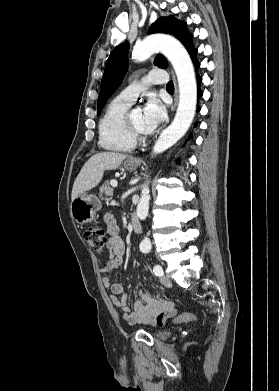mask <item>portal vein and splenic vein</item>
I'll use <instances>...</instances> for the list:
<instances>
[{"mask_svg":"<svg viewBox=\"0 0 279 391\" xmlns=\"http://www.w3.org/2000/svg\"><path fill=\"white\" fill-rule=\"evenodd\" d=\"M111 184H112V186L116 187L117 186V181H112Z\"/></svg>","mask_w":279,"mask_h":391,"instance_id":"obj_1","label":"portal vein and splenic vein"}]
</instances>
